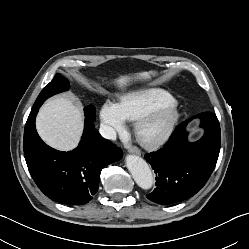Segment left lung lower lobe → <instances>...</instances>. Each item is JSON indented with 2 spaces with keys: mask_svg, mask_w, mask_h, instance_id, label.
<instances>
[{
  "mask_svg": "<svg viewBox=\"0 0 249 249\" xmlns=\"http://www.w3.org/2000/svg\"><path fill=\"white\" fill-rule=\"evenodd\" d=\"M195 117L201 119L200 126L205 129L199 141H187L185 127L189 119L177 126L163 148L145 155L158 174L157 187L147 195L149 200L170 204L188 199L205 185L213 172L220 151L219 121L210 112Z\"/></svg>",
  "mask_w": 249,
  "mask_h": 249,
  "instance_id": "obj_1",
  "label": "left lung lower lobe"
}]
</instances>
